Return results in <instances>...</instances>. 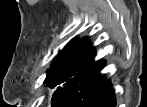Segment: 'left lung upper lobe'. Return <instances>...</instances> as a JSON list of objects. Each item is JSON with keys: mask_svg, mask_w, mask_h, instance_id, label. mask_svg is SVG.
Here are the masks:
<instances>
[{"mask_svg": "<svg viewBox=\"0 0 147 107\" xmlns=\"http://www.w3.org/2000/svg\"><path fill=\"white\" fill-rule=\"evenodd\" d=\"M94 51L95 49L89 43L88 38L72 40L64 47L47 71L45 79L48 87L59 86L52 99L59 96L66 84L94 54Z\"/></svg>", "mask_w": 147, "mask_h": 107, "instance_id": "left-lung-upper-lobe-1", "label": "left lung upper lobe"}]
</instances>
